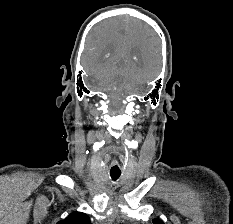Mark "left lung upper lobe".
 Here are the masks:
<instances>
[{"mask_svg":"<svg viewBox=\"0 0 233 224\" xmlns=\"http://www.w3.org/2000/svg\"><path fill=\"white\" fill-rule=\"evenodd\" d=\"M153 224H164L160 219L156 218L153 220Z\"/></svg>","mask_w":233,"mask_h":224,"instance_id":"5c2ea615","label":"left lung upper lobe"}]
</instances>
